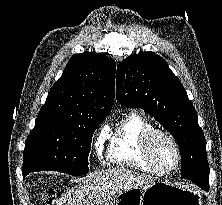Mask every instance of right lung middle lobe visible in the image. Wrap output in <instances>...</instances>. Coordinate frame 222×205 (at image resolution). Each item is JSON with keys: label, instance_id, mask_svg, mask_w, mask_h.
Returning <instances> with one entry per match:
<instances>
[{"label": "right lung middle lobe", "instance_id": "right-lung-middle-lobe-1", "mask_svg": "<svg viewBox=\"0 0 222 205\" xmlns=\"http://www.w3.org/2000/svg\"><path fill=\"white\" fill-rule=\"evenodd\" d=\"M104 118H40L23 153V170H54L74 176L89 172L92 136Z\"/></svg>", "mask_w": 222, "mask_h": 205}]
</instances>
